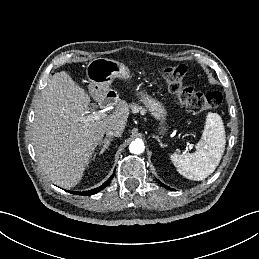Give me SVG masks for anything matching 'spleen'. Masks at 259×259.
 Segmentation results:
<instances>
[{
  "mask_svg": "<svg viewBox=\"0 0 259 259\" xmlns=\"http://www.w3.org/2000/svg\"><path fill=\"white\" fill-rule=\"evenodd\" d=\"M226 135L219 114L209 112L206 116L201 140L194 153H174L170 156L177 171L184 177L202 181L214 172L225 151Z\"/></svg>",
  "mask_w": 259,
  "mask_h": 259,
  "instance_id": "1",
  "label": "spleen"
}]
</instances>
